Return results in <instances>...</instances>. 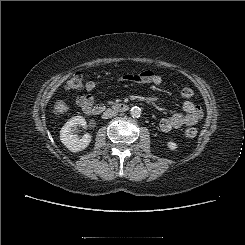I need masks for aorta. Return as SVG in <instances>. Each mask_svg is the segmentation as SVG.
I'll return each instance as SVG.
<instances>
[{
	"label": "aorta",
	"instance_id": "1",
	"mask_svg": "<svg viewBox=\"0 0 245 245\" xmlns=\"http://www.w3.org/2000/svg\"><path fill=\"white\" fill-rule=\"evenodd\" d=\"M130 114H131L132 117L138 118L141 115V109L139 107H137V106H134V107L131 108Z\"/></svg>",
	"mask_w": 245,
	"mask_h": 245
}]
</instances>
